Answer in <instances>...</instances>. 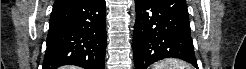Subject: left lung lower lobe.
<instances>
[{
	"label": "left lung lower lobe",
	"mask_w": 246,
	"mask_h": 69,
	"mask_svg": "<svg viewBox=\"0 0 246 69\" xmlns=\"http://www.w3.org/2000/svg\"><path fill=\"white\" fill-rule=\"evenodd\" d=\"M135 9V69H147L168 57L180 58L198 67L189 20L182 19L156 0H135Z\"/></svg>",
	"instance_id": "1"
}]
</instances>
